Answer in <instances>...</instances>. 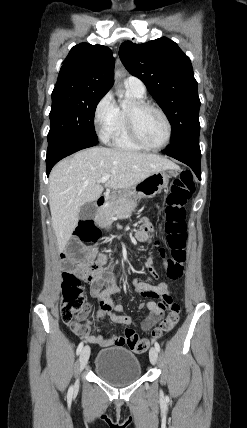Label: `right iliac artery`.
Listing matches in <instances>:
<instances>
[{
    "mask_svg": "<svg viewBox=\"0 0 247 428\" xmlns=\"http://www.w3.org/2000/svg\"><path fill=\"white\" fill-rule=\"evenodd\" d=\"M82 348H83V342H81L77 347V350H76L77 355L81 353ZM72 394H73V387L71 386L68 390V396H72Z\"/></svg>",
    "mask_w": 247,
    "mask_h": 428,
    "instance_id": "right-iliac-artery-1",
    "label": "right iliac artery"
}]
</instances>
